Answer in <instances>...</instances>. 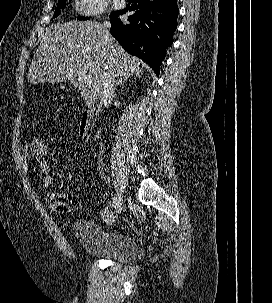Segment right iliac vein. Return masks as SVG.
I'll use <instances>...</instances> for the list:
<instances>
[{"instance_id":"1","label":"right iliac vein","mask_w":272,"mask_h":303,"mask_svg":"<svg viewBox=\"0 0 272 303\" xmlns=\"http://www.w3.org/2000/svg\"><path fill=\"white\" fill-rule=\"evenodd\" d=\"M117 199L116 212L120 214L123 210V197L120 193H117Z\"/></svg>"}]
</instances>
